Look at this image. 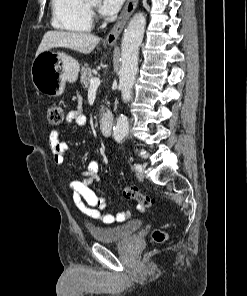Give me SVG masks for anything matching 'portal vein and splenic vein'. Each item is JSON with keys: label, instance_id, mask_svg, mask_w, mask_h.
I'll use <instances>...</instances> for the list:
<instances>
[{"label": "portal vein and splenic vein", "instance_id": "1", "mask_svg": "<svg viewBox=\"0 0 247 296\" xmlns=\"http://www.w3.org/2000/svg\"><path fill=\"white\" fill-rule=\"evenodd\" d=\"M100 85V79L98 77H94L90 80L89 89H97Z\"/></svg>", "mask_w": 247, "mask_h": 296}]
</instances>
